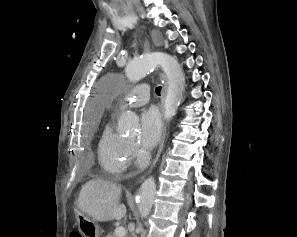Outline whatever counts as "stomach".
Wrapping results in <instances>:
<instances>
[{
	"label": "stomach",
	"mask_w": 297,
	"mask_h": 237,
	"mask_svg": "<svg viewBox=\"0 0 297 237\" xmlns=\"http://www.w3.org/2000/svg\"><path fill=\"white\" fill-rule=\"evenodd\" d=\"M76 219L83 237H99L100 228L95 220L80 211L76 213Z\"/></svg>",
	"instance_id": "0dacf381"
}]
</instances>
